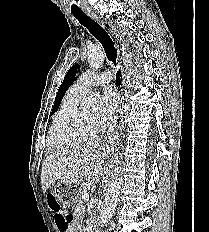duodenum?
Segmentation results:
<instances>
[{
  "label": "duodenum",
  "instance_id": "410a0bca",
  "mask_svg": "<svg viewBox=\"0 0 209 232\" xmlns=\"http://www.w3.org/2000/svg\"><path fill=\"white\" fill-rule=\"evenodd\" d=\"M90 232H97L96 231V227H95L94 224H91V226H90Z\"/></svg>",
  "mask_w": 209,
  "mask_h": 232
}]
</instances>
